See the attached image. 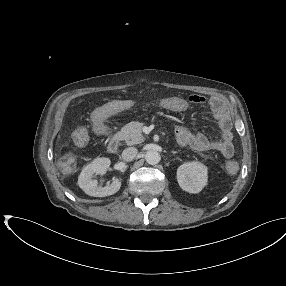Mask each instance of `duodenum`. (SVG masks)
<instances>
[{
  "mask_svg": "<svg viewBox=\"0 0 286 286\" xmlns=\"http://www.w3.org/2000/svg\"><path fill=\"white\" fill-rule=\"evenodd\" d=\"M101 132L102 134H107L108 130L106 129L105 126L101 127ZM120 145V139L117 136H112L108 142H107V149L111 152V153H115L117 152L118 148Z\"/></svg>",
  "mask_w": 286,
  "mask_h": 286,
  "instance_id": "1",
  "label": "duodenum"
}]
</instances>
